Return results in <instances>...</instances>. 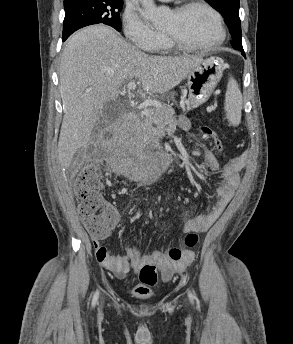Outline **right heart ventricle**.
<instances>
[{"mask_svg": "<svg viewBox=\"0 0 293 344\" xmlns=\"http://www.w3.org/2000/svg\"><path fill=\"white\" fill-rule=\"evenodd\" d=\"M176 48L172 46L165 36H162L161 41L159 44L150 52L157 54V55H170L176 52Z\"/></svg>", "mask_w": 293, "mask_h": 344, "instance_id": "obj_1", "label": "right heart ventricle"}]
</instances>
